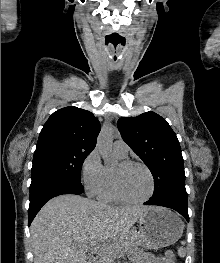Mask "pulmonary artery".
<instances>
[{"label":"pulmonary artery","mask_w":220,"mask_h":263,"mask_svg":"<svg viewBox=\"0 0 220 263\" xmlns=\"http://www.w3.org/2000/svg\"><path fill=\"white\" fill-rule=\"evenodd\" d=\"M114 151L122 157L128 154L129 147L125 141L118 139L113 143Z\"/></svg>","instance_id":"obj_1"}]
</instances>
